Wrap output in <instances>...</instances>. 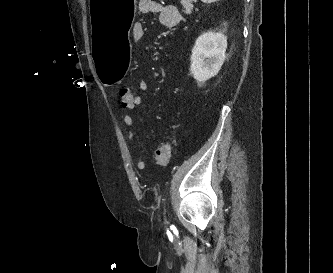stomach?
<instances>
[{
    "label": "stomach",
    "mask_w": 333,
    "mask_h": 273,
    "mask_svg": "<svg viewBox=\"0 0 333 273\" xmlns=\"http://www.w3.org/2000/svg\"><path fill=\"white\" fill-rule=\"evenodd\" d=\"M91 44L97 81L111 85L129 75L131 50L129 32L135 19L136 0H89Z\"/></svg>",
    "instance_id": "stomach-1"
}]
</instances>
